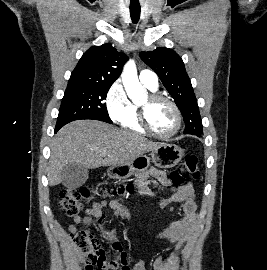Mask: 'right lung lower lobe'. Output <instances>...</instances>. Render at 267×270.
Segmentation results:
<instances>
[{
	"mask_svg": "<svg viewBox=\"0 0 267 270\" xmlns=\"http://www.w3.org/2000/svg\"><path fill=\"white\" fill-rule=\"evenodd\" d=\"M60 128H61L60 126H56V128H55V133H56Z\"/></svg>",
	"mask_w": 267,
	"mask_h": 270,
	"instance_id": "obj_1",
	"label": "right lung lower lobe"
}]
</instances>
